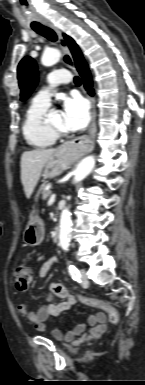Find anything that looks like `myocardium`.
<instances>
[{
	"mask_svg": "<svg viewBox=\"0 0 145 385\" xmlns=\"http://www.w3.org/2000/svg\"><path fill=\"white\" fill-rule=\"evenodd\" d=\"M45 126L46 128L48 129V131L53 135L55 136L56 138H63V137H66L68 136V132L67 131H64V130H61V129H58L54 126H52L49 122V119H45Z\"/></svg>",
	"mask_w": 145,
	"mask_h": 385,
	"instance_id": "myocardium-1",
	"label": "myocardium"
}]
</instances>
